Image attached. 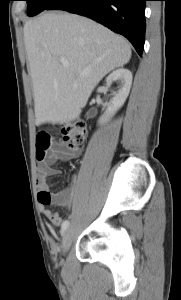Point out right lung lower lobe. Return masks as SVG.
Returning a JSON list of instances; mask_svg holds the SVG:
<instances>
[{
    "label": "right lung lower lobe",
    "instance_id": "1",
    "mask_svg": "<svg viewBox=\"0 0 181 300\" xmlns=\"http://www.w3.org/2000/svg\"><path fill=\"white\" fill-rule=\"evenodd\" d=\"M148 0H58L49 10L89 17L125 36L141 56L145 41V2Z\"/></svg>",
    "mask_w": 181,
    "mask_h": 300
}]
</instances>
